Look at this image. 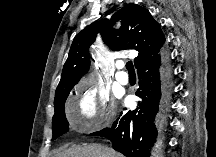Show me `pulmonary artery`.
Instances as JSON below:
<instances>
[{"instance_id":"1","label":"pulmonary artery","mask_w":216,"mask_h":157,"mask_svg":"<svg viewBox=\"0 0 216 157\" xmlns=\"http://www.w3.org/2000/svg\"><path fill=\"white\" fill-rule=\"evenodd\" d=\"M116 67L118 69V71L116 73L117 81L121 84H127L129 81V77H128L127 73L123 70V65L117 64Z\"/></svg>"}]
</instances>
